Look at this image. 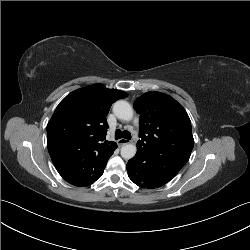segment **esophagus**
<instances>
[{"instance_id":"esophagus-1","label":"esophagus","mask_w":250,"mask_h":250,"mask_svg":"<svg viewBox=\"0 0 250 250\" xmlns=\"http://www.w3.org/2000/svg\"><path fill=\"white\" fill-rule=\"evenodd\" d=\"M119 146H123L129 143V140L125 139V138H121L117 141Z\"/></svg>"}]
</instances>
